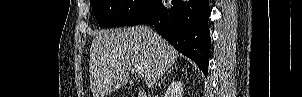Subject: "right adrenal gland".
<instances>
[{"instance_id": "1", "label": "right adrenal gland", "mask_w": 302, "mask_h": 97, "mask_svg": "<svg viewBox=\"0 0 302 97\" xmlns=\"http://www.w3.org/2000/svg\"><path fill=\"white\" fill-rule=\"evenodd\" d=\"M178 67H176V65L172 66L168 72L166 73V75L164 76V78L162 79L161 83H159V86L163 83V81L166 79V77L174 70L177 69Z\"/></svg>"}]
</instances>
